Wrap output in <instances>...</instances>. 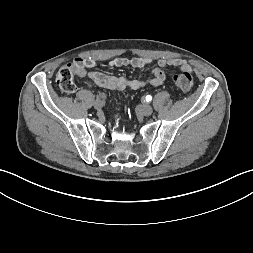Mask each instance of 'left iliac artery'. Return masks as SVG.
Returning a JSON list of instances; mask_svg holds the SVG:
<instances>
[{
    "mask_svg": "<svg viewBox=\"0 0 253 253\" xmlns=\"http://www.w3.org/2000/svg\"><path fill=\"white\" fill-rule=\"evenodd\" d=\"M151 100H152V96L147 95V96H146V101H151Z\"/></svg>",
    "mask_w": 253,
    "mask_h": 253,
    "instance_id": "44dca946",
    "label": "left iliac artery"
}]
</instances>
